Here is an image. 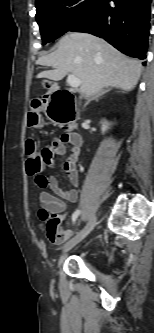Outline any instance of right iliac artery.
<instances>
[{"label":"right iliac artery","instance_id":"1","mask_svg":"<svg viewBox=\"0 0 154 333\" xmlns=\"http://www.w3.org/2000/svg\"><path fill=\"white\" fill-rule=\"evenodd\" d=\"M80 214V210H76L72 215V221L75 222Z\"/></svg>","mask_w":154,"mask_h":333}]
</instances>
